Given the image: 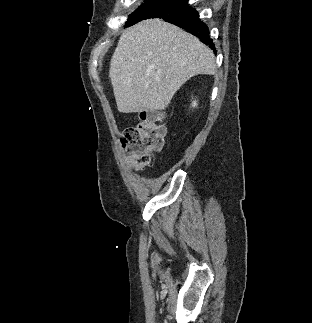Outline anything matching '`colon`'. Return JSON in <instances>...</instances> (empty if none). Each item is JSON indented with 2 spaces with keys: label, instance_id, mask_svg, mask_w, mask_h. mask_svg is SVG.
I'll return each mask as SVG.
<instances>
[{
  "label": "colon",
  "instance_id": "colon-1",
  "mask_svg": "<svg viewBox=\"0 0 312 323\" xmlns=\"http://www.w3.org/2000/svg\"><path fill=\"white\" fill-rule=\"evenodd\" d=\"M165 135L164 127L156 118L150 116L140 121L135 127L127 128L124 133L127 142L121 143L124 154H127L129 150L133 151V159L127 161V168H135L139 172L142 168L149 166L152 153L162 148Z\"/></svg>",
  "mask_w": 312,
  "mask_h": 323
}]
</instances>
